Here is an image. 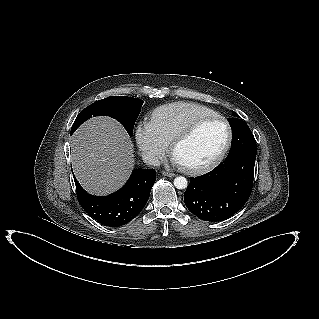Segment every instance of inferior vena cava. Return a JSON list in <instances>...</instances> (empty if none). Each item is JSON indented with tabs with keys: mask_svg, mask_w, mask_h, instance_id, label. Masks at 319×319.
I'll return each instance as SVG.
<instances>
[{
	"mask_svg": "<svg viewBox=\"0 0 319 319\" xmlns=\"http://www.w3.org/2000/svg\"><path fill=\"white\" fill-rule=\"evenodd\" d=\"M142 159H143L144 163H146L147 165L160 166V160L158 159V157H156L152 154L144 153L142 155Z\"/></svg>",
	"mask_w": 319,
	"mask_h": 319,
	"instance_id": "inferior-vena-cava-1",
	"label": "inferior vena cava"
}]
</instances>
